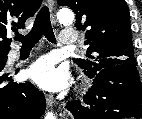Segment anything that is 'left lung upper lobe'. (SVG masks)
I'll use <instances>...</instances> for the list:
<instances>
[{
	"instance_id": "obj_1",
	"label": "left lung upper lobe",
	"mask_w": 142,
	"mask_h": 119,
	"mask_svg": "<svg viewBox=\"0 0 142 119\" xmlns=\"http://www.w3.org/2000/svg\"><path fill=\"white\" fill-rule=\"evenodd\" d=\"M76 14L75 26L86 31L88 59H74L85 74L124 63L136 64L125 0H57ZM92 59V60H90Z\"/></svg>"
}]
</instances>
